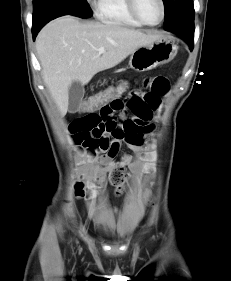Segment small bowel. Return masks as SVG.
<instances>
[{
  "instance_id": "small-bowel-1",
  "label": "small bowel",
  "mask_w": 231,
  "mask_h": 281,
  "mask_svg": "<svg viewBox=\"0 0 231 281\" xmlns=\"http://www.w3.org/2000/svg\"><path fill=\"white\" fill-rule=\"evenodd\" d=\"M118 85L127 88V92L99 109L73 120L69 126L74 140L88 147L91 157L111 170L118 166H127L133 172L140 168L139 162H133L130 154H123L115 161L122 141L138 152L143 133L150 132L151 123L159 109L161 97L169 91L168 79L162 75L144 77L141 80L121 81ZM127 111L131 115L127 116ZM122 117L117 121V115Z\"/></svg>"
}]
</instances>
